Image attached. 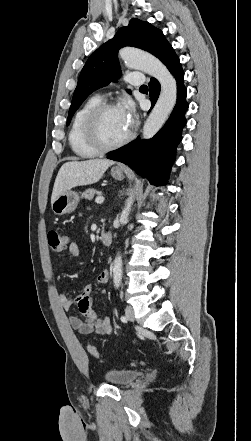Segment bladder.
<instances>
[{
  "mask_svg": "<svg viewBox=\"0 0 251 441\" xmlns=\"http://www.w3.org/2000/svg\"><path fill=\"white\" fill-rule=\"evenodd\" d=\"M140 375L136 370H109L104 374V379L116 386H126L134 382Z\"/></svg>",
  "mask_w": 251,
  "mask_h": 441,
  "instance_id": "31cf9c89",
  "label": "bladder"
}]
</instances>
